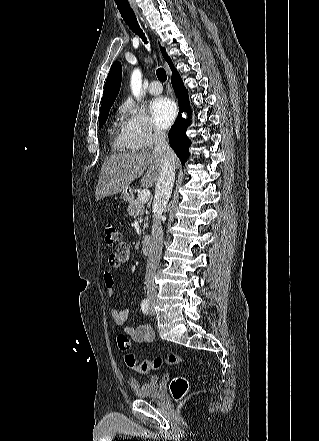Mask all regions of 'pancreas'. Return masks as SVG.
Here are the masks:
<instances>
[{"label": "pancreas", "mask_w": 319, "mask_h": 441, "mask_svg": "<svg viewBox=\"0 0 319 441\" xmlns=\"http://www.w3.org/2000/svg\"><path fill=\"white\" fill-rule=\"evenodd\" d=\"M145 209L144 204L140 201L139 198H137L135 201H131L127 212L129 216L137 217L139 222H142L141 215L143 214V210ZM148 227V218H146V221L144 222L142 232Z\"/></svg>", "instance_id": "pancreas-1"}]
</instances>
